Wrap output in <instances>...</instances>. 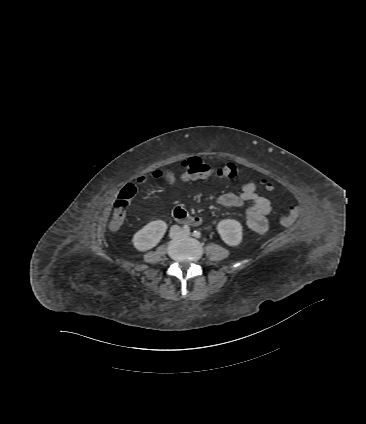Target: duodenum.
Returning <instances> with one entry per match:
<instances>
[{
    "mask_svg": "<svg viewBox=\"0 0 366 424\" xmlns=\"http://www.w3.org/2000/svg\"><path fill=\"white\" fill-rule=\"evenodd\" d=\"M172 216L177 222H180V223H192L195 225H198L201 223V218L190 215L189 213H187L184 209L180 207H175L172 210Z\"/></svg>",
    "mask_w": 366,
    "mask_h": 424,
    "instance_id": "obj_1",
    "label": "duodenum"
}]
</instances>
